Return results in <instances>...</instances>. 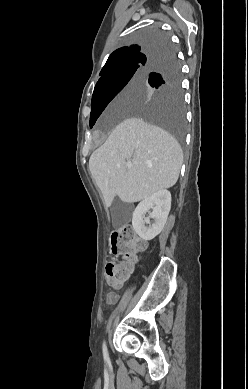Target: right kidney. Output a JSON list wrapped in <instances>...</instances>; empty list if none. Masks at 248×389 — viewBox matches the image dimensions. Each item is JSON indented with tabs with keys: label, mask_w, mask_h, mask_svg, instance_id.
<instances>
[{
	"label": "right kidney",
	"mask_w": 248,
	"mask_h": 389,
	"mask_svg": "<svg viewBox=\"0 0 248 389\" xmlns=\"http://www.w3.org/2000/svg\"><path fill=\"white\" fill-rule=\"evenodd\" d=\"M171 208V193L168 190H159L142 200L133 212L132 225L135 232L145 241L154 239L163 229ZM152 210L151 212H149ZM146 212L154 219L144 220Z\"/></svg>",
	"instance_id": "obj_1"
}]
</instances>
